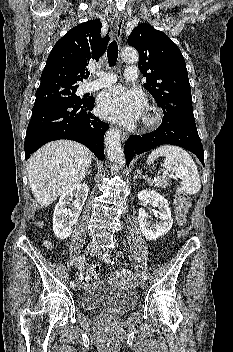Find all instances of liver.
Listing matches in <instances>:
<instances>
[{
	"label": "liver",
	"instance_id": "1",
	"mask_svg": "<svg viewBox=\"0 0 233 352\" xmlns=\"http://www.w3.org/2000/svg\"><path fill=\"white\" fill-rule=\"evenodd\" d=\"M93 154L80 143L59 140L34 153L27 165L32 193L42 207L79 184L85 177Z\"/></svg>",
	"mask_w": 233,
	"mask_h": 352
}]
</instances>
